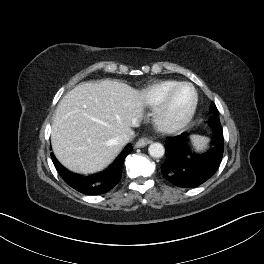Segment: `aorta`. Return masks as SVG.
Segmentation results:
<instances>
[{
	"label": "aorta",
	"mask_w": 264,
	"mask_h": 264,
	"mask_svg": "<svg viewBox=\"0 0 264 264\" xmlns=\"http://www.w3.org/2000/svg\"><path fill=\"white\" fill-rule=\"evenodd\" d=\"M148 152L153 158H161L164 156L165 148L161 143L155 142L149 146Z\"/></svg>",
	"instance_id": "762f6f07"
}]
</instances>
